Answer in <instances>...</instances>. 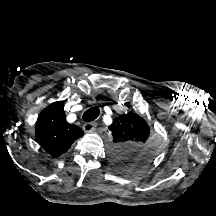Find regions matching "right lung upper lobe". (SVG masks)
<instances>
[{
  "mask_svg": "<svg viewBox=\"0 0 216 216\" xmlns=\"http://www.w3.org/2000/svg\"><path fill=\"white\" fill-rule=\"evenodd\" d=\"M35 133L38 143L53 157L65 153L76 139L84 135L78 126L66 122L62 101L50 104L40 113Z\"/></svg>",
  "mask_w": 216,
  "mask_h": 216,
  "instance_id": "right-lung-upper-lobe-1",
  "label": "right lung upper lobe"
}]
</instances>
